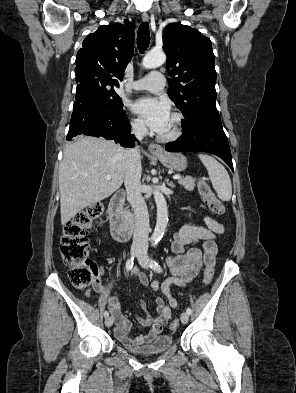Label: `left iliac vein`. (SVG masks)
<instances>
[{
    "label": "left iliac vein",
    "instance_id": "obj_1",
    "mask_svg": "<svg viewBox=\"0 0 296 393\" xmlns=\"http://www.w3.org/2000/svg\"><path fill=\"white\" fill-rule=\"evenodd\" d=\"M137 259H138L139 264H140L143 268L147 269V268L149 267V258H148V256H147V251H146V249H144V248L141 249V251H140V252L138 253V255H137ZM180 319H181V322H182L183 324L188 323V320H189V315H188V313H187V312H183V313L181 314Z\"/></svg>",
    "mask_w": 296,
    "mask_h": 393
}]
</instances>
